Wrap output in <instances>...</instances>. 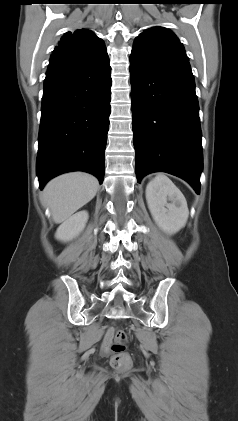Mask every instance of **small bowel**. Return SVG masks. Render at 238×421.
<instances>
[{
	"instance_id": "obj_1",
	"label": "small bowel",
	"mask_w": 238,
	"mask_h": 421,
	"mask_svg": "<svg viewBox=\"0 0 238 421\" xmlns=\"http://www.w3.org/2000/svg\"><path fill=\"white\" fill-rule=\"evenodd\" d=\"M109 344H110V338H109V334L107 333L104 339V345L105 347H107Z\"/></svg>"
}]
</instances>
